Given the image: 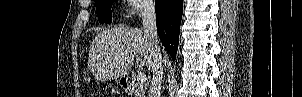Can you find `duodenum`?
<instances>
[{"instance_id": "duodenum-1", "label": "duodenum", "mask_w": 302, "mask_h": 97, "mask_svg": "<svg viewBox=\"0 0 302 97\" xmlns=\"http://www.w3.org/2000/svg\"><path fill=\"white\" fill-rule=\"evenodd\" d=\"M121 85H122V87L124 88V90L126 92H128V93L132 92V85H131V83L127 79L123 78L121 80Z\"/></svg>"}]
</instances>
